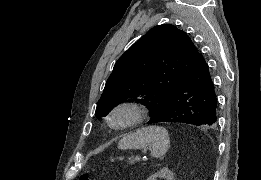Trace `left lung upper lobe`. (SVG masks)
Masks as SVG:
<instances>
[{"instance_id":"obj_1","label":"left lung upper lobe","mask_w":261,"mask_h":180,"mask_svg":"<svg viewBox=\"0 0 261 180\" xmlns=\"http://www.w3.org/2000/svg\"><path fill=\"white\" fill-rule=\"evenodd\" d=\"M190 37L171 24L150 29L116 62L95 115L104 117L124 101L146 105L152 123L167 110L177 84L197 61Z\"/></svg>"}]
</instances>
